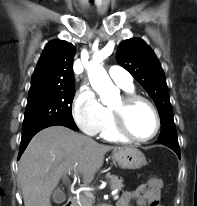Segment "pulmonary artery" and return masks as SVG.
Masks as SVG:
<instances>
[{
    "label": "pulmonary artery",
    "instance_id": "e3ab8cb5",
    "mask_svg": "<svg viewBox=\"0 0 197 206\" xmlns=\"http://www.w3.org/2000/svg\"><path fill=\"white\" fill-rule=\"evenodd\" d=\"M109 76L120 87H132L133 79L131 75L121 66H112L109 69Z\"/></svg>",
    "mask_w": 197,
    "mask_h": 206
}]
</instances>
